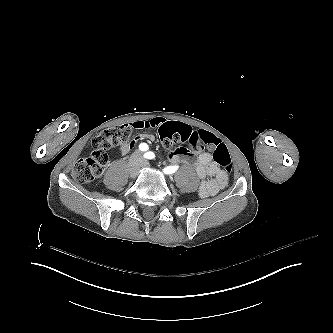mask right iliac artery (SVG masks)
I'll use <instances>...</instances> for the list:
<instances>
[{
  "label": "right iliac artery",
  "instance_id": "1",
  "mask_svg": "<svg viewBox=\"0 0 333 333\" xmlns=\"http://www.w3.org/2000/svg\"><path fill=\"white\" fill-rule=\"evenodd\" d=\"M148 145L146 144V143H141L140 145H139V149L141 150V151H147L148 150ZM144 157L145 158H147V156H145L144 155Z\"/></svg>",
  "mask_w": 333,
  "mask_h": 333
}]
</instances>
